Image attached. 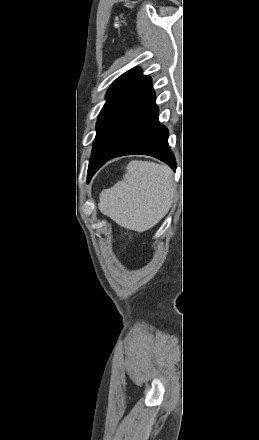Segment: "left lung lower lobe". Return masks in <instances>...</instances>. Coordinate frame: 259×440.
<instances>
[{
	"instance_id": "1",
	"label": "left lung lower lobe",
	"mask_w": 259,
	"mask_h": 440,
	"mask_svg": "<svg viewBox=\"0 0 259 440\" xmlns=\"http://www.w3.org/2000/svg\"><path fill=\"white\" fill-rule=\"evenodd\" d=\"M131 154L153 156L176 170L175 157L168 145V130L158 121L152 83L118 125L97 158L89 179L111 158Z\"/></svg>"
}]
</instances>
